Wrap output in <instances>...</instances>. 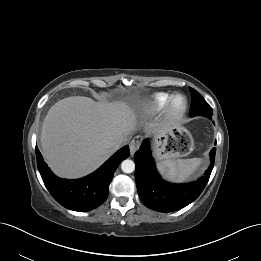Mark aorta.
<instances>
[{"instance_id": "aorta-1", "label": "aorta", "mask_w": 261, "mask_h": 261, "mask_svg": "<svg viewBox=\"0 0 261 261\" xmlns=\"http://www.w3.org/2000/svg\"><path fill=\"white\" fill-rule=\"evenodd\" d=\"M121 169L124 173H132L135 170V164L132 160L126 159L122 161Z\"/></svg>"}]
</instances>
